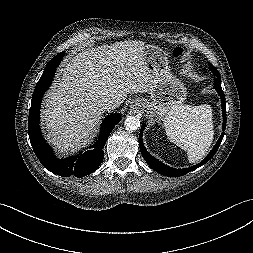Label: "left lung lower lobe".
I'll list each match as a JSON object with an SVG mask.
<instances>
[{
    "instance_id": "1",
    "label": "left lung lower lobe",
    "mask_w": 253,
    "mask_h": 253,
    "mask_svg": "<svg viewBox=\"0 0 253 253\" xmlns=\"http://www.w3.org/2000/svg\"><path fill=\"white\" fill-rule=\"evenodd\" d=\"M210 66V70L216 75V78L214 79V87L217 90L218 94L221 97V103H222V113H223V126H222V130L223 133L221 134L219 140L217 141L216 145L214 146V148L211 150V152L208 154V156L201 161L199 164L186 168V169H175V168H171L167 165H165L164 163L160 162L159 160H157L156 158H154L151 154H149L147 152V150L144 147L143 141H142V134L145 128V124H142L141 127V131L139 134V147H140V151L141 154L143 156V158L145 159L146 163L156 172L162 174V175H166L169 177H176V176H182L185 175L195 169H197L198 167L204 165L205 163H207L216 153V151L218 150L221 141L223 139L224 136V130L226 129V110H225V95L223 93V90L221 88V77L220 74L218 72V70L214 67Z\"/></svg>"
}]
</instances>
